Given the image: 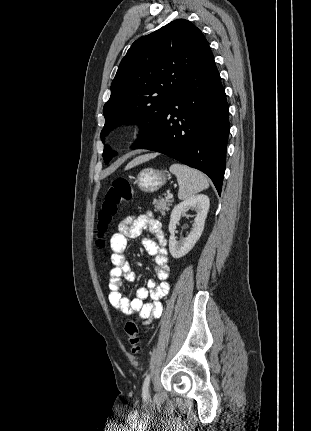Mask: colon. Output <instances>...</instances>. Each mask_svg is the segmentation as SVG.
<instances>
[{
	"mask_svg": "<svg viewBox=\"0 0 311 431\" xmlns=\"http://www.w3.org/2000/svg\"><path fill=\"white\" fill-rule=\"evenodd\" d=\"M134 196V190L130 182L124 177L114 178L107 188L105 197L98 213V245H104L102 241L103 234L107 231L113 218L119 210V206L129 202ZM125 333L131 345L132 352L137 354L140 349L139 329L134 321H128L125 324Z\"/></svg>",
	"mask_w": 311,
	"mask_h": 431,
	"instance_id": "obj_1",
	"label": "colon"
}]
</instances>
